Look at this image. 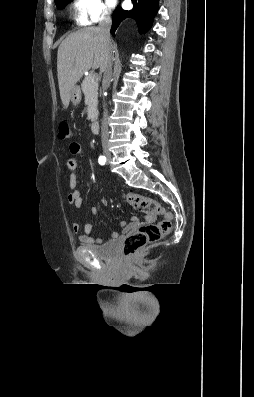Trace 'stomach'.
Here are the masks:
<instances>
[{"instance_id": "stomach-1", "label": "stomach", "mask_w": 254, "mask_h": 397, "mask_svg": "<svg viewBox=\"0 0 254 397\" xmlns=\"http://www.w3.org/2000/svg\"><path fill=\"white\" fill-rule=\"evenodd\" d=\"M70 100L74 105H77L80 103L81 101V90L80 87L75 85L72 90H71V94H70Z\"/></svg>"}]
</instances>
